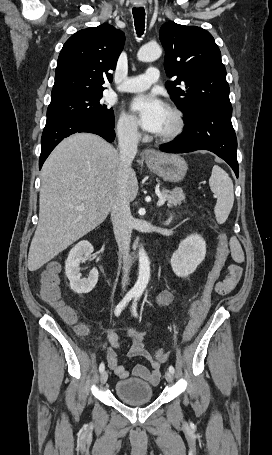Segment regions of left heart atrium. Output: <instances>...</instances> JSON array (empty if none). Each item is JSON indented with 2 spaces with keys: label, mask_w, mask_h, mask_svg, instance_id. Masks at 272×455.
Listing matches in <instances>:
<instances>
[{
  "label": "left heart atrium",
  "mask_w": 272,
  "mask_h": 455,
  "mask_svg": "<svg viewBox=\"0 0 272 455\" xmlns=\"http://www.w3.org/2000/svg\"><path fill=\"white\" fill-rule=\"evenodd\" d=\"M130 110L138 124L146 131L158 134L164 124L167 107L155 94H141L133 98Z\"/></svg>",
  "instance_id": "1"
}]
</instances>
